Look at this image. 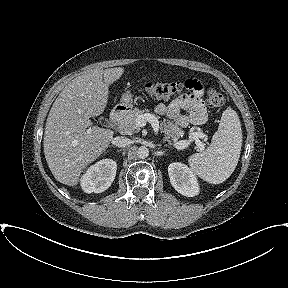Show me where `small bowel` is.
<instances>
[{"label": "small bowel", "instance_id": "small-bowel-1", "mask_svg": "<svg viewBox=\"0 0 288 288\" xmlns=\"http://www.w3.org/2000/svg\"><path fill=\"white\" fill-rule=\"evenodd\" d=\"M190 84L188 91L180 94L169 104H158L155 112L167 115L181 127L189 124L201 125L207 119V112L202 101L203 85L196 79H188ZM183 110L189 112L188 115L182 113Z\"/></svg>", "mask_w": 288, "mask_h": 288}]
</instances>
